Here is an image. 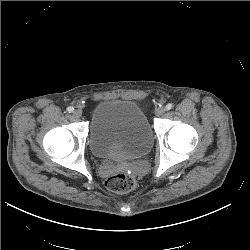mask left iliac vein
Listing matches in <instances>:
<instances>
[{
	"label": "left iliac vein",
	"instance_id": "left-iliac-vein-1",
	"mask_svg": "<svg viewBox=\"0 0 250 250\" xmlns=\"http://www.w3.org/2000/svg\"><path fill=\"white\" fill-rule=\"evenodd\" d=\"M164 112H165V108H164V107H158V108L155 110V115H156V116H161Z\"/></svg>",
	"mask_w": 250,
	"mask_h": 250
}]
</instances>
